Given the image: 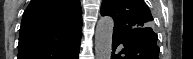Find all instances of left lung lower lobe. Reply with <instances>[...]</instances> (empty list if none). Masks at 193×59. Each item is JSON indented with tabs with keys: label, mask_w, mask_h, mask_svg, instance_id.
Segmentation results:
<instances>
[{
	"label": "left lung lower lobe",
	"mask_w": 193,
	"mask_h": 59,
	"mask_svg": "<svg viewBox=\"0 0 193 59\" xmlns=\"http://www.w3.org/2000/svg\"><path fill=\"white\" fill-rule=\"evenodd\" d=\"M157 35L151 29L134 32L133 30H115L111 59H158ZM122 44L123 49L117 50Z\"/></svg>",
	"instance_id": "left-lung-lower-lobe-1"
}]
</instances>
